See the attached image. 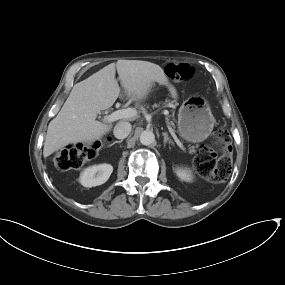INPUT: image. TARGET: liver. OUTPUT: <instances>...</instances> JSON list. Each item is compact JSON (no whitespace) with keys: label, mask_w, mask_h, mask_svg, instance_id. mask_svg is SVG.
<instances>
[{"label":"liver","mask_w":285,"mask_h":285,"mask_svg":"<svg viewBox=\"0 0 285 285\" xmlns=\"http://www.w3.org/2000/svg\"><path fill=\"white\" fill-rule=\"evenodd\" d=\"M116 70L125 94L133 100L145 99L155 82L168 86L172 97H177L159 65L140 60L111 63L73 86L61 110L48 125L44 157L70 144L93 143L109 132L111 125L96 118L100 111L110 108L122 97L115 79ZM136 115L123 120H132Z\"/></svg>","instance_id":"liver-1"}]
</instances>
